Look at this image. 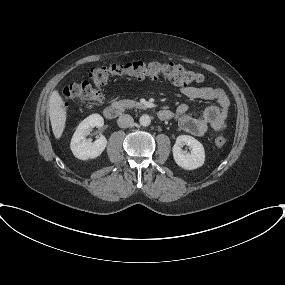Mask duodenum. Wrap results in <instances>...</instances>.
Masks as SVG:
<instances>
[{"instance_id":"duodenum-1","label":"duodenum","mask_w":285,"mask_h":285,"mask_svg":"<svg viewBox=\"0 0 285 285\" xmlns=\"http://www.w3.org/2000/svg\"><path fill=\"white\" fill-rule=\"evenodd\" d=\"M103 113L107 119L112 120V119L119 117L122 114V107L117 103H113V104L108 105L104 109ZM158 117L161 120H168L171 117V112L169 110L162 109L159 111Z\"/></svg>"}]
</instances>
